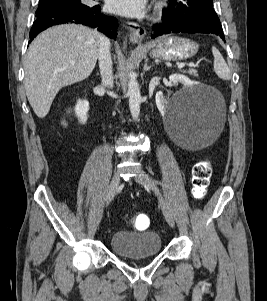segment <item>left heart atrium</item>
<instances>
[{
    "mask_svg": "<svg viewBox=\"0 0 267 301\" xmlns=\"http://www.w3.org/2000/svg\"><path fill=\"white\" fill-rule=\"evenodd\" d=\"M107 7L119 15L138 17L146 9V0H107Z\"/></svg>",
    "mask_w": 267,
    "mask_h": 301,
    "instance_id": "obj_1",
    "label": "left heart atrium"
}]
</instances>
